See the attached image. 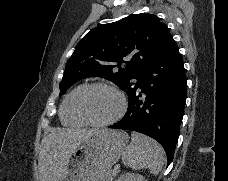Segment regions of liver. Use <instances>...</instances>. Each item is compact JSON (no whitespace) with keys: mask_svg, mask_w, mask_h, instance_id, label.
<instances>
[{"mask_svg":"<svg viewBox=\"0 0 228 181\" xmlns=\"http://www.w3.org/2000/svg\"><path fill=\"white\" fill-rule=\"evenodd\" d=\"M95 131L103 133L104 129H52L49 135L44 137L39 153L40 181H62L71 153Z\"/></svg>","mask_w":228,"mask_h":181,"instance_id":"obj_1","label":"liver"}]
</instances>
